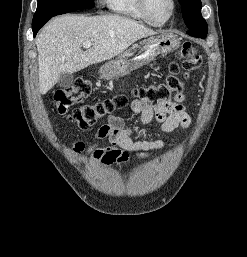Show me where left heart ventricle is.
<instances>
[{"label": "left heart ventricle", "instance_id": "b2bd125f", "mask_svg": "<svg viewBox=\"0 0 247 257\" xmlns=\"http://www.w3.org/2000/svg\"><path fill=\"white\" fill-rule=\"evenodd\" d=\"M170 0H149V8L152 16L156 20L165 19L171 11Z\"/></svg>", "mask_w": 247, "mask_h": 257}]
</instances>
